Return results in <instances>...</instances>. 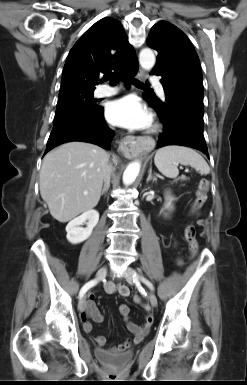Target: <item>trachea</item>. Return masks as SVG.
I'll list each match as a JSON object with an SVG mask.
<instances>
[{
    "label": "trachea",
    "instance_id": "trachea-1",
    "mask_svg": "<svg viewBox=\"0 0 247 385\" xmlns=\"http://www.w3.org/2000/svg\"><path fill=\"white\" fill-rule=\"evenodd\" d=\"M107 79L110 80V83L112 85H116L120 81V77L118 75H110V76L107 77ZM131 81L137 87H145V85L142 82H140V81H138L136 79H132Z\"/></svg>",
    "mask_w": 247,
    "mask_h": 385
}]
</instances>
